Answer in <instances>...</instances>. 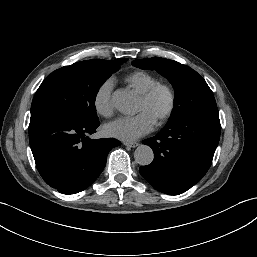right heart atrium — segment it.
<instances>
[{"mask_svg":"<svg viewBox=\"0 0 257 257\" xmlns=\"http://www.w3.org/2000/svg\"><path fill=\"white\" fill-rule=\"evenodd\" d=\"M112 89V81L106 80L97 88L93 97L94 108L103 117H109L114 112Z\"/></svg>","mask_w":257,"mask_h":257,"instance_id":"obj_1","label":"right heart atrium"}]
</instances>
